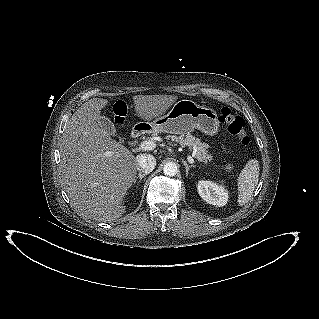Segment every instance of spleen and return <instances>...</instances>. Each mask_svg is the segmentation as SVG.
<instances>
[{"instance_id": "1", "label": "spleen", "mask_w": 319, "mask_h": 319, "mask_svg": "<svg viewBox=\"0 0 319 319\" xmlns=\"http://www.w3.org/2000/svg\"><path fill=\"white\" fill-rule=\"evenodd\" d=\"M259 180V163L256 159L247 162L238 179V204L245 205L251 198Z\"/></svg>"}]
</instances>
